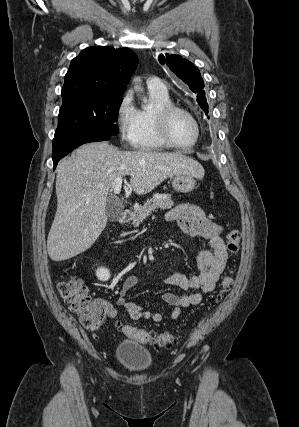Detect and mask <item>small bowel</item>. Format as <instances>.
I'll use <instances>...</instances> for the list:
<instances>
[{"instance_id": "small-bowel-1", "label": "small bowel", "mask_w": 299, "mask_h": 427, "mask_svg": "<svg viewBox=\"0 0 299 427\" xmlns=\"http://www.w3.org/2000/svg\"><path fill=\"white\" fill-rule=\"evenodd\" d=\"M165 220L166 222L177 221L184 232L208 239L209 249L197 256L198 274L188 277L176 273L167 277V282L171 285L183 290H194L182 295L172 292L163 293L162 299L172 307L168 314L143 310L138 304L128 300L126 295L139 282V278L135 275L127 277L120 289L117 304L132 320L150 319L163 322L178 319L182 308L200 304L203 297L215 289L227 262L228 254L222 238L224 229L209 218L200 207L191 203L179 204L166 214ZM98 304L109 318L117 316V309L107 300L100 299Z\"/></svg>"}]
</instances>
